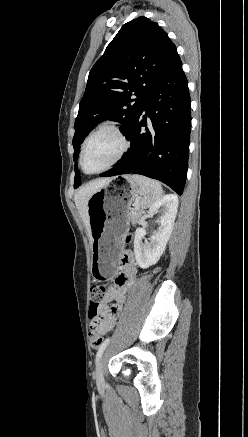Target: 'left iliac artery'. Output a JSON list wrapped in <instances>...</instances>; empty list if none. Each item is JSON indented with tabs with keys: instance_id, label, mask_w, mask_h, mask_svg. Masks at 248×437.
Masks as SVG:
<instances>
[{
	"instance_id": "obj_1",
	"label": "left iliac artery",
	"mask_w": 248,
	"mask_h": 437,
	"mask_svg": "<svg viewBox=\"0 0 248 437\" xmlns=\"http://www.w3.org/2000/svg\"><path fill=\"white\" fill-rule=\"evenodd\" d=\"M110 340H111V338L108 337L107 339L104 340V342L99 347L98 352L96 354V359H95L96 363L98 362L99 358L103 354V352L106 349L107 345L109 344Z\"/></svg>"
}]
</instances>
